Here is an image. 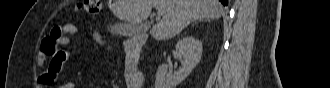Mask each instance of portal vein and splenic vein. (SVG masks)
I'll return each instance as SVG.
<instances>
[{"label": "portal vein and splenic vein", "mask_w": 330, "mask_h": 88, "mask_svg": "<svg viewBox=\"0 0 330 88\" xmlns=\"http://www.w3.org/2000/svg\"><path fill=\"white\" fill-rule=\"evenodd\" d=\"M162 15H163V11L158 10V11H157V17L160 18Z\"/></svg>", "instance_id": "1"}]
</instances>
